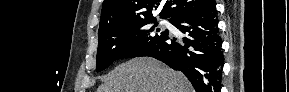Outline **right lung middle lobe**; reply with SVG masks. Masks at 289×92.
<instances>
[{
    "label": "right lung middle lobe",
    "mask_w": 289,
    "mask_h": 92,
    "mask_svg": "<svg viewBox=\"0 0 289 92\" xmlns=\"http://www.w3.org/2000/svg\"><path fill=\"white\" fill-rule=\"evenodd\" d=\"M156 26V19L148 18L119 22L99 31L97 72L117 59L136 57L145 48L166 38L168 30L160 33Z\"/></svg>",
    "instance_id": "obj_1"
}]
</instances>
